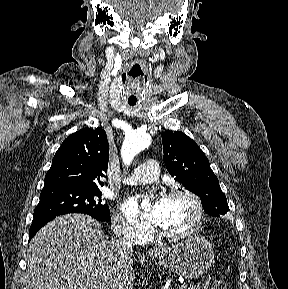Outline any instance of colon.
Wrapping results in <instances>:
<instances>
[{
  "label": "colon",
  "mask_w": 288,
  "mask_h": 289,
  "mask_svg": "<svg viewBox=\"0 0 288 289\" xmlns=\"http://www.w3.org/2000/svg\"><path fill=\"white\" fill-rule=\"evenodd\" d=\"M212 289H227V286L223 280H216L212 285Z\"/></svg>",
  "instance_id": "5ec220e1"
}]
</instances>
